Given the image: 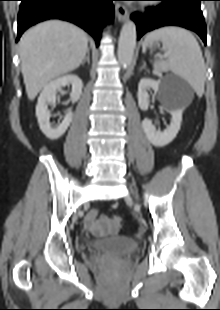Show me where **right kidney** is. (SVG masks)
Returning a JSON list of instances; mask_svg holds the SVG:
<instances>
[{"mask_svg":"<svg viewBox=\"0 0 220 310\" xmlns=\"http://www.w3.org/2000/svg\"><path fill=\"white\" fill-rule=\"evenodd\" d=\"M68 85L72 86V91L70 94L71 100L73 102L78 101L82 94L83 83L82 80L74 74L63 75L50 81L44 87L38 98V103L36 106L38 123L41 131L51 140L60 138L72 122L73 113L71 110L66 112L64 119L58 126L52 127L49 122L50 112L48 111V105L55 102L57 91L61 87Z\"/></svg>","mask_w":220,"mask_h":310,"instance_id":"right-kidney-1","label":"right kidney"}]
</instances>
